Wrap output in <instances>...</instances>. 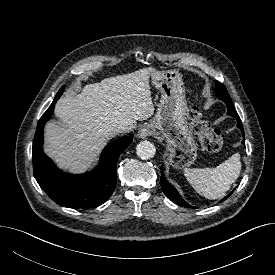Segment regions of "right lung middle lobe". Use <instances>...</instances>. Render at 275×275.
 <instances>
[{
  "mask_svg": "<svg viewBox=\"0 0 275 275\" xmlns=\"http://www.w3.org/2000/svg\"><path fill=\"white\" fill-rule=\"evenodd\" d=\"M63 88H64V87H62V88L59 90V92H58L60 95H62V93H63Z\"/></svg>",
  "mask_w": 275,
  "mask_h": 275,
  "instance_id": "obj_1",
  "label": "right lung middle lobe"
}]
</instances>
